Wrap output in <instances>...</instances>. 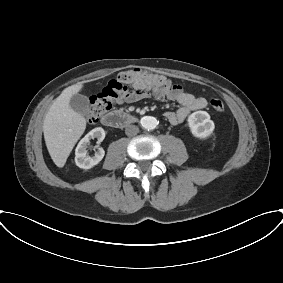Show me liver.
Segmentation results:
<instances>
[{
    "label": "liver",
    "instance_id": "1",
    "mask_svg": "<svg viewBox=\"0 0 283 283\" xmlns=\"http://www.w3.org/2000/svg\"><path fill=\"white\" fill-rule=\"evenodd\" d=\"M82 87V83H77L64 89L51 105L43 121L48 152L59 168L65 165L74 145L86 129V119L69 105L71 97Z\"/></svg>",
    "mask_w": 283,
    "mask_h": 283
}]
</instances>
